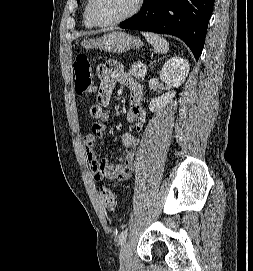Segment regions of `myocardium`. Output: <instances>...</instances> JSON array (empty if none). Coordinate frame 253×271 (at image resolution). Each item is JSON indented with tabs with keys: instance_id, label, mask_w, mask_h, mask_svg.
<instances>
[{
	"instance_id": "myocardium-1",
	"label": "myocardium",
	"mask_w": 253,
	"mask_h": 271,
	"mask_svg": "<svg viewBox=\"0 0 253 271\" xmlns=\"http://www.w3.org/2000/svg\"><path fill=\"white\" fill-rule=\"evenodd\" d=\"M144 2H145V0H136L135 5L128 13H126L122 17H120L114 21H111V22H101L97 18L95 11H94L95 0H89L88 12H89L90 18H91L92 22L95 24V26L102 27V28H109V27L116 26V25L132 18L133 16H135L141 10Z\"/></svg>"
}]
</instances>
